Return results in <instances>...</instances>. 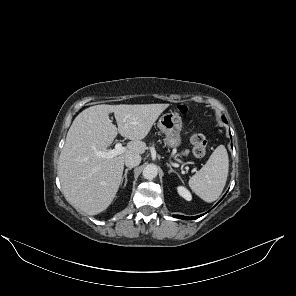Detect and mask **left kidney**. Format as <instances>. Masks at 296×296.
<instances>
[{
  "mask_svg": "<svg viewBox=\"0 0 296 296\" xmlns=\"http://www.w3.org/2000/svg\"><path fill=\"white\" fill-rule=\"evenodd\" d=\"M177 191L178 194L185 200L190 201L192 199L191 193L184 186H179Z\"/></svg>",
  "mask_w": 296,
  "mask_h": 296,
  "instance_id": "obj_1",
  "label": "left kidney"
}]
</instances>
